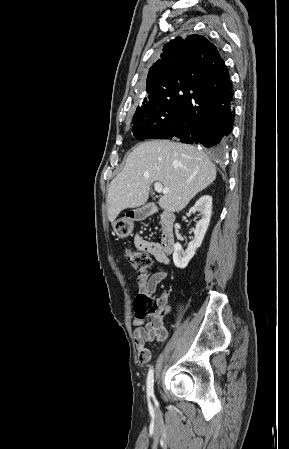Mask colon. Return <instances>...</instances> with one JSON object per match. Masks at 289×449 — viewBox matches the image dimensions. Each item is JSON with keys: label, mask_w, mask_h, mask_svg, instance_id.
I'll list each match as a JSON object with an SVG mask.
<instances>
[{"label": "colon", "mask_w": 289, "mask_h": 449, "mask_svg": "<svg viewBox=\"0 0 289 449\" xmlns=\"http://www.w3.org/2000/svg\"><path fill=\"white\" fill-rule=\"evenodd\" d=\"M125 257L128 263L139 273L144 274L151 270L153 262L150 255L142 250L127 249ZM165 306L163 298H152L146 295H139L135 300L136 312L148 319L158 321L162 324V313Z\"/></svg>", "instance_id": "1"}]
</instances>
